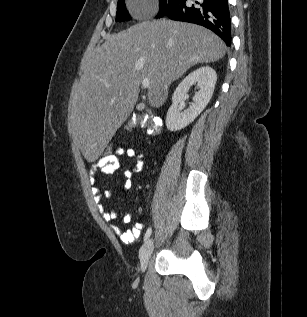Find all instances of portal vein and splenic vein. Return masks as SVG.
Returning <instances> with one entry per match:
<instances>
[{
	"label": "portal vein and splenic vein",
	"instance_id": "obj_1",
	"mask_svg": "<svg viewBox=\"0 0 307 317\" xmlns=\"http://www.w3.org/2000/svg\"><path fill=\"white\" fill-rule=\"evenodd\" d=\"M149 86H150V81L148 79H144L142 81V87L143 88H149Z\"/></svg>",
	"mask_w": 307,
	"mask_h": 317
}]
</instances>
